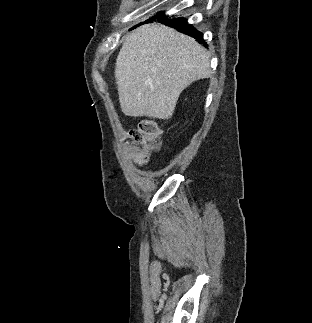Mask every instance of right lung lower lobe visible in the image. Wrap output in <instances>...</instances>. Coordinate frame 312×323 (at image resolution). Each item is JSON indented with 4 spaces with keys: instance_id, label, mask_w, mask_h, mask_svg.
Returning <instances> with one entry per match:
<instances>
[{
    "instance_id": "98d812e1",
    "label": "right lung lower lobe",
    "mask_w": 312,
    "mask_h": 323,
    "mask_svg": "<svg viewBox=\"0 0 312 323\" xmlns=\"http://www.w3.org/2000/svg\"><path fill=\"white\" fill-rule=\"evenodd\" d=\"M158 21L167 26L175 28L180 32L186 33L187 35L197 39L199 43L207 47L205 41L203 40V34L198 32L191 25H189L185 19L183 18L168 19V17H163L161 19H158Z\"/></svg>"
}]
</instances>
